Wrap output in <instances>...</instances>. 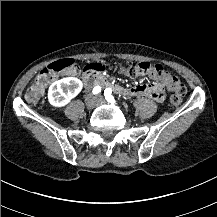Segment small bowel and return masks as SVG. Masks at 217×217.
Instances as JSON below:
<instances>
[{
	"label": "small bowel",
	"instance_id": "c3829d8e",
	"mask_svg": "<svg viewBox=\"0 0 217 217\" xmlns=\"http://www.w3.org/2000/svg\"><path fill=\"white\" fill-rule=\"evenodd\" d=\"M76 70L73 69L72 71H67L66 75H74ZM132 90L131 95H138V96H149L150 98L158 101H162L164 99V94L157 87V84L150 83V84H139L130 88Z\"/></svg>",
	"mask_w": 217,
	"mask_h": 217
}]
</instances>
